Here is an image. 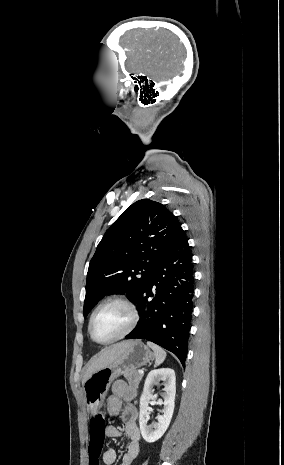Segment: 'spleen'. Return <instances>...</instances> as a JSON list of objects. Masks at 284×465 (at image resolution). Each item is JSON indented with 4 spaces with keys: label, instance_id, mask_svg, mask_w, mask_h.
<instances>
[{
    "label": "spleen",
    "instance_id": "spleen-1",
    "mask_svg": "<svg viewBox=\"0 0 284 465\" xmlns=\"http://www.w3.org/2000/svg\"><path fill=\"white\" fill-rule=\"evenodd\" d=\"M148 347L154 351L155 355V365H161L163 361L166 359V353L161 349V347H158V345H154V343H147Z\"/></svg>",
    "mask_w": 284,
    "mask_h": 465
}]
</instances>
